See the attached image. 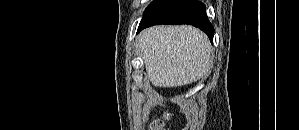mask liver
Masks as SVG:
<instances>
[{"label": "liver", "mask_w": 299, "mask_h": 130, "mask_svg": "<svg viewBox=\"0 0 299 130\" xmlns=\"http://www.w3.org/2000/svg\"><path fill=\"white\" fill-rule=\"evenodd\" d=\"M148 79L157 87H177L206 76L212 66L207 36L192 26H154L138 36Z\"/></svg>", "instance_id": "liver-1"}]
</instances>
